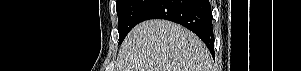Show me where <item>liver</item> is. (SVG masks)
I'll return each mask as SVG.
<instances>
[{
	"mask_svg": "<svg viewBox=\"0 0 301 71\" xmlns=\"http://www.w3.org/2000/svg\"><path fill=\"white\" fill-rule=\"evenodd\" d=\"M205 44L191 31L166 20L136 25L118 54L117 71H212Z\"/></svg>",
	"mask_w": 301,
	"mask_h": 71,
	"instance_id": "1",
	"label": "liver"
}]
</instances>
